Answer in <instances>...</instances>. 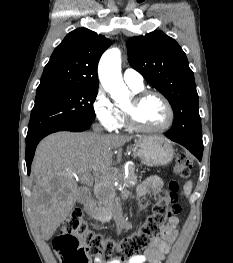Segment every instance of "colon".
Instances as JSON below:
<instances>
[{
    "label": "colon",
    "instance_id": "obj_1",
    "mask_svg": "<svg viewBox=\"0 0 233 263\" xmlns=\"http://www.w3.org/2000/svg\"><path fill=\"white\" fill-rule=\"evenodd\" d=\"M190 175V159L184 152L176 156L173 176L167 180V190L155 204L152 214L132 234L116 241L89 228L81 210H74L63 224L54 249L62 263H91L99 257L103 260L125 261L141 255L159 236L163 224L177 216L181 209L177 203V178Z\"/></svg>",
    "mask_w": 233,
    "mask_h": 263
}]
</instances>
